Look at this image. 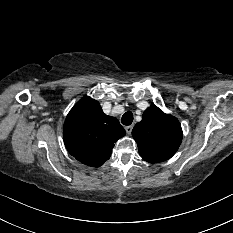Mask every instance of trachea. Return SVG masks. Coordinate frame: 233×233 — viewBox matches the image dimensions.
I'll use <instances>...</instances> for the list:
<instances>
[{
  "label": "trachea",
  "instance_id": "trachea-1",
  "mask_svg": "<svg viewBox=\"0 0 233 233\" xmlns=\"http://www.w3.org/2000/svg\"><path fill=\"white\" fill-rule=\"evenodd\" d=\"M123 125H131L133 122V114L131 111H127L121 118Z\"/></svg>",
  "mask_w": 233,
  "mask_h": 233
}]
</instances>
